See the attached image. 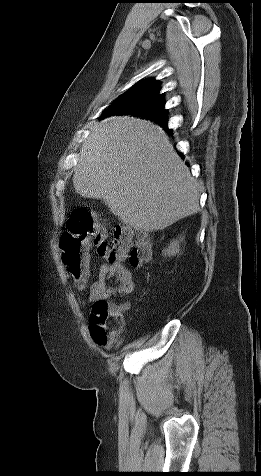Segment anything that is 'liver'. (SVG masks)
Returning <instances> with one entry per match:
<instances>
[{
	"mask_svg": "<svg viewBox=\"0 0 261 476\" xmlns=\"http://www.w3.org/2000/svg\"><path fill=\"white\" fill-rule=\"evenodd\" d=\"M73 185L85 198L102 199L136 230H163L200 209L198 182L166 133L130 116L94 123L80 148Z\"/></svg>",
	"mask_w": 261,
	"mask_h": 476,
	"instance_id": "liver-1",
	"label": "liver"
}]
</instances>
